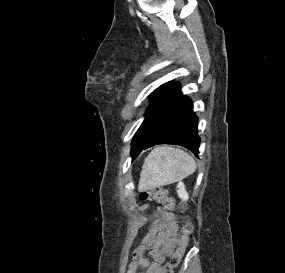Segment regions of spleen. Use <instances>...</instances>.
Instances as JSON below:
<instances>
[{
	"mask_svg": "<svg viewBox=\"0 0 285 273\" xmlns=\"http://www.w3.org/2000/svg\"><path fill=\"white\" fill-rule=\"evenodd\" d=\"M195 170L196 162L187 152L169 146L157 147L145 158L139 189L151 190L179 182Z\"/></svg>",
	"mask_w": 285,
	"mask_h": 273,
	"instance_id": "3e777b00",
	"label": "spleen"
}]
</instances>
